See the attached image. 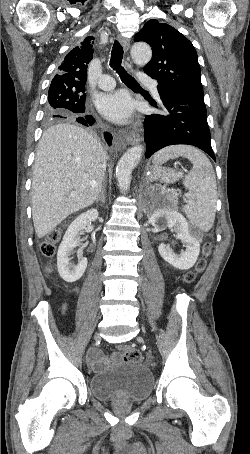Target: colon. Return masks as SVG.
<instances>
[{"label":"colon","instance_id":"5ec220e1","mask_svg":"<svg viewBox=\"0 0 250 454\" xmlns=\"http://www.w3.org/2000/svg\"><path fill=\"white\" fill-rule=\"evenodd\" d=\"M59 236H60V231L54 230L49 234L47 240H45L41 244V252L43 253L44 256L52 257L55 254L56 243L59 240ZM210 252H211V245L209 243H207L203 247V256L198 260L195 270L192 272H188L184 276V281L186 283H188V284L192 283L195 280L197 274L201 273L205 269V267L207 265V257L209 256ZM120 353L125 361L139 362L142 359L141 353L133 347H128V346L122 347L120 349Z\"/></svg>","mask_w":250,"mask_h":454}]
</instances>
